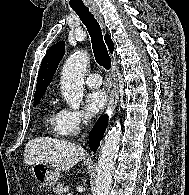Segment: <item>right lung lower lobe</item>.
<instances>
[{"mask_svg": "<svg viewBox=\"0 0 189 195\" xmlns=\"http://www.w3.org/2000/svg\"><path fill=\"white\" fill-rule=\"evenodd\" d=\"M106 124L107 116L104 115L98 120L93 130L90 132L89 140L91 150L96 151L97 148L99 147L100 140L103 138Z\"/></svg>", "mask_w": 189, "mask_h": 195, "instance_id": "1", "label": "right lung lower lobe"}]
</instances>
